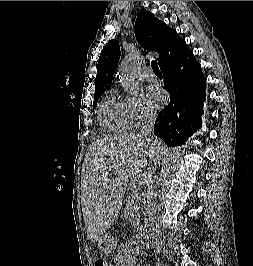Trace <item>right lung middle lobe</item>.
<instances>
[{"label": "right lung middle lobe", "mask_w": 253, "mask_h": 266, "mask_svg": "<svg viewBox=\"0 0 253 266\" xmlns=\"http://www.w3.org/2000/svg\"><path fill=\"white\" fill-rule=\"evenodd\" d=\"M99 98H100V96H97V97L94 98L93 109H94V107H95V105H96V103H97Z\"/></svg>", "instance_id": "dd1d6c3e"}]
</instances>
